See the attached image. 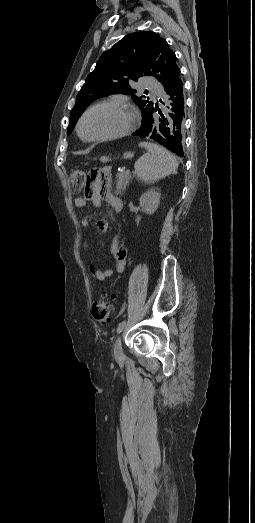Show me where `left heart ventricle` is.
Instances as JSON below:
<instances>
[{
  "mask_svg": "<svg viewBox=\"0 0 255 523\" xmlns=\"http://www.w3.org/2000/svg\"><path fill=\"white\" fill-rule=\"evenodd\" d=\"M131 109L116 106H100L92 109L84 118L82 134L86 138H102L125 131L131 124Z\"/></svg>",
  "mask_w": 255,
  "mask_h": 523,
  "instance_id": "obj_1",
  "label": "left heart ventricle"
}]
</instances>
